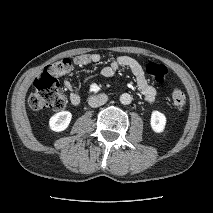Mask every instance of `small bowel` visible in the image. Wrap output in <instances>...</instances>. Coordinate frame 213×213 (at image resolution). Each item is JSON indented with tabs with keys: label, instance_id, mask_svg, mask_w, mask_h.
I'll return each instance as SVG.
<instances>
[{
	"label": "small bowel",
	"instance_id": "obj_1",
	"mask_svg": "<svg viewBox=\"0 0 213 213\" xmlns=\"http://www.w3.org/2000/svg\"><path fill=\"white\" fill-rule=\"evenodd\" d=\"M101 60V56L96 53L81 54L74 57L73 62L77 66H86L89 64L98 63ZM127 69L135 77L137 86L148 103H153L155 101L157 91L148 82L145 72L140 65V63L134 58L126 55L117 56L114 58L107 66L103 67L101 70V75L103 77L109 78L115 75V73L120 69ZM64 86L69 91V98L72 104L77 105L80 103V95L74 89L72 82L69 79L64 80Z\"/></svg>",
	"mask_w": 213,
	"mask_h": 213
}]
</instances>
